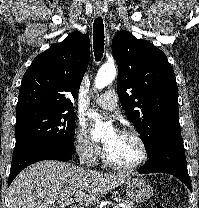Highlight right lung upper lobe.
<instances>
[{
    "mask_svg": "<svg viewBox=\"0 0 199 208\" xmlns=\"http://www.w3.org/2000/svg\"><path fill=\"white\" fill-rule=\"evenodd\" d=\"M89 58V36L77 31L39 54L23 76L16 110L74 111L69 97H78Z\"/></svg>",
    "mask_w": 199,
    "mask_h": 208,
    "instance_id": "1",
    "label": "right lung upper lobe"
}]
</instances>
